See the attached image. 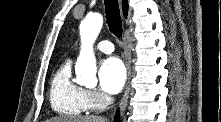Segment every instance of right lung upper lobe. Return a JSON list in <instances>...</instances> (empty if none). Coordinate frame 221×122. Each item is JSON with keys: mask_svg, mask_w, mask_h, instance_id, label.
<instances>
[{"mask_svg": "<svg viewBox=\"0 0 221 122\" xmlns=\"http://www.w3.org/2000/svg\"><path fill=\"white\" fill-rule=\"evenodd\" d=\"M127 12H128V4L126 0H123V13L125 17L127 16Z\"/></svg>", "mask_w": 221, "mask_h": 122, "instance_id": "right-lung-upper-lobe-1", "label": "right lung upper lobe"}]
</instances>
